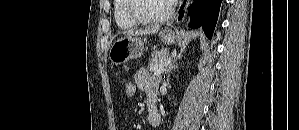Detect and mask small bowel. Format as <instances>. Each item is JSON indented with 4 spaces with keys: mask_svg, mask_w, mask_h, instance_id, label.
<instances>
[{
    "mask_svg": "<svg viewBox=\"0 0 299 130\" xmlns=\"http://www.w3.org/2000/svg\"><path fill=\"white\" fill-rule=\"evenodd\" d=\"M138 88L145 91L147 96L155 93L157 79L151 75L146 68H141L135 75ZM148 122L151 126L157 127L160 124V115L153 117L148 115Z\"/></svg>",
    "mask_w": 299,
    "mask_h": 130,
    "instance_id": "obj_1",
    "label": "small bowel"
}]
</instances>
